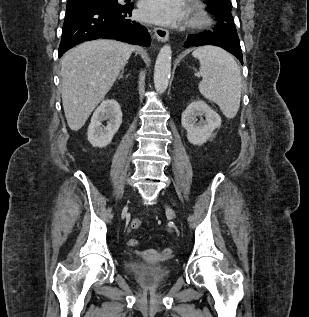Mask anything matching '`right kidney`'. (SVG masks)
<instances>
[{
    "mask_svg": "<svg viewBox=\"0 0 309 317\" xmlns=\"http://www.w3.org/2000/svg\"><path fill=\"white\" fill-rule=\"evenodd\" d=\"M108 120L103 126L102 121ZM122 124V112L119 103L114 99L102 101L95 110L88 127V140L93 147H105L112 141Z\"/></svg>",
    "mask_w": 309,
    "mask_h": 317,
    "instance_id": "1",
    "label": "right kidney"
}]
</instances>
